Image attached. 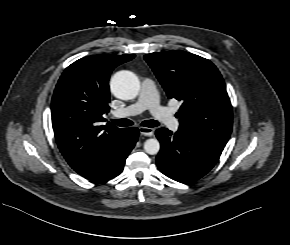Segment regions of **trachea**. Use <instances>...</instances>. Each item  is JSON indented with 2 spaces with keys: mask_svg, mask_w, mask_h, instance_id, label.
I'll list each match as a JSON object with an SVG mask.
<instances>
[{
  "mask_svg": "<svg viewBox=\"0 0 290 245\" xmlns=\"http://www.w3.org/2000/svg\"><path fill=\"white\" fill-rule=\"evenodd\" d=\"M112 122L121 127L133 125V122L129 119H117V120H112ZM141 125L145 127H157L159 126V122L155 120H145L141 123Z\"/></svg>",
  "mask_w": 290,
  "mask_h": 245,
  "instance_id": "1",
  "label": "trachea"
}]
</instances>
